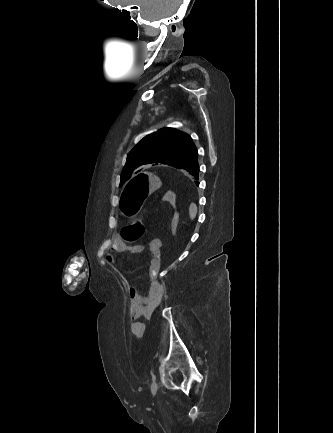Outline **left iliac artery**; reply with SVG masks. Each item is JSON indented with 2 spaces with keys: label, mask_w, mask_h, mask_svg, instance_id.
I'll return each mask as SVG.
<instances>
[{
  "label": "left iliac artery",
  "mask_w": 333,
  "mask_h": 433,
  "mask_svg": "<svg viewBox=\"0 0 333 433\" xmlns=\"http://www.w3.org/2000/svg\"><path fill=\"white\" fill-rule=\"evenodd\" d=\"M155 378H156V377H155V375H152V381H154V380H155Z\"/></svg>",
  "instance_id": "left-iliac-artery-1"
}]
</instances>
